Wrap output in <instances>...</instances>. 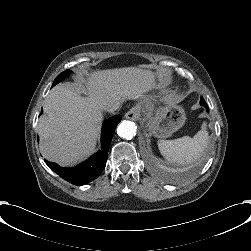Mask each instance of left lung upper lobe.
<instances>
[{"instance_id": "1", "label": "left lung upper lobe", "mask_w": 251, "mask_h": 251, "mask_svg": "<svg viewBox=\"0 0 251 251\" xmlns=\"http://www.w3.org/2000/svg\"><path fill=\"white\" fill-rule=\"evenodd\" d=\"M200 104H201L202 106H207V104H206V102L204 101L203 98H201Z\"/></svg>"}]
</instances>
